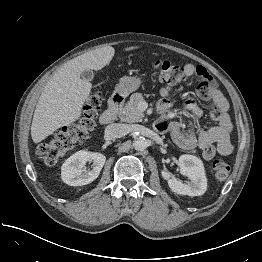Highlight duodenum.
Segmentation results:
<instances>
[{"label":"duodenum","mask_w":262,"mask_h":262,"mask_svg":"<svg viewBox=\"0 0 262 262\" xmlns=\"http://www.w3.org/2000/svg\"><path fill=\"white\" fill-rule=\"evenodd\" d=\"M124 102V97L120 93H115L108 101L107 109L101 114L100 122L107 125L112 122L120 111Z\"/></svg>","instance_id":"1"}]
</instances>
